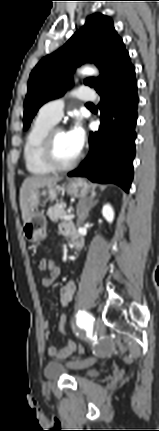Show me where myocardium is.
Segmentation results:
<instances>
[{"instance_id":"1","label":"myocardium","mask_w":159,"mask_h":431,"mask_svg":"<svg viewBox=\"0 0 159 431\" xmlns=\"http://www.w3.org/2000/svg\"><path fill=\"white\" fill-rule=\"evenodd\" d=\"M61 131H63L61 128H51L47 133L42 146L43 160L53 171L71 170L81 159V154L79 153L72 162L67 164H62L57 160L55 156V137L57 133Z\"/></svg>"}]
</instances>
